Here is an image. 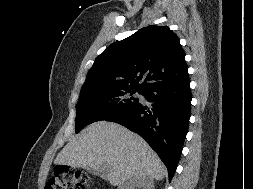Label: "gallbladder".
Listing matches in <instances>:
<instances>
[{
	"label": "gallbladder",
	"mask_w": 253,
	"mask_h": 189,
	"mask_svg": "<svg viewBox=\"0 0 253 189\" xmlns=\"http://www.w3.org/2000/svg\"><path fill=\"white\" fill-rule=\"evenodd\" d=\"M86 170L91 173V174H94V175H98V176H101L102 178H105L106 177V174L105 172L102 170V169H93V168H86Z\"/></svg>",
	"instance_id": "obj_1"
}]
</instances>
